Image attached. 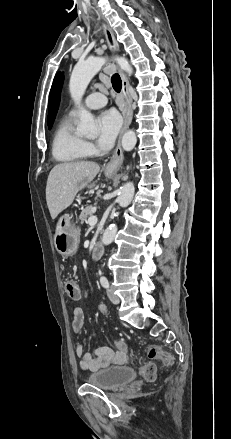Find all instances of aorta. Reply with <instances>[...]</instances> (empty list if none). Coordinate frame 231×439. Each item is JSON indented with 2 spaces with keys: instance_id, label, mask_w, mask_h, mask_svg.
<instances>
[{
  "instance_id": "aorta-1",
  "label": "aorta",
  "mask_w": 231,
  "mask_h": 439,
  "mask_svg": "<svg viewBox=\"0 0 231 439\" xmlns=\"http://www.w3.org/2000/svg\"><path fill=\"white\" fill-rule=\"evenodd\" d=\"M122 70L129 75L132 74L133 69L130 66L128 60L124 57H117L115 59ZM107 59L104 57H90L83 62H78L71 74L69 82V91L75 105L79 109L80 122L77 127V132L87 137H94L97 135V127L94 121L93 115L87 111L82 105V97L85 90L94 77V75L101 69L106 63ZM137 142L136 134L134 131H127L122 137V147L125 151H131ZM135 188L132 182L126 183L118 196L117 202L121 207H127L134 196ZM117 233V225L111 224L104 232L102 236V243L109 245L114 240Z\"/></svg>"
}]
</instances>
